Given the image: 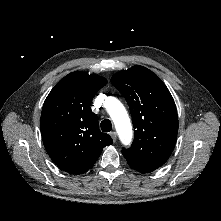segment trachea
<instances>
[{
	"label": "trachea",
	"instance_id": "obj_1",
	"mask_svg": "<svg viewBox=\"0 0 221 221\" xmlns=\"http://www.w3.org/2000/svg\"><path fill=\"white\" fill-rule=\"evenodd\" d=\"M101 130L103 132H110L112 130V123L109 119H105L101 122Z\"/></svg>",
	"mask_w": 221,
	"mask_h": 221
}]
</instances>
